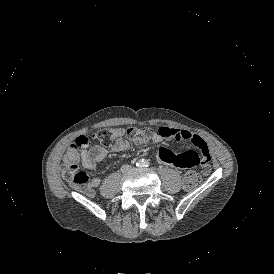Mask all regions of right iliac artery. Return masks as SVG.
<instances>
[{"instance_id": "1", "label": "right iliac artery", "mask_w": 274, "mask_h": 274, "mask_svg": "<svg viewBox=\"0 0 274 274\" xmlns=\"http://www.w3.org/2000/svg\"><path fill=\"white\" fill-rule=\"evenodd\" d=\"M136 166L137 167H142L143 166V162L141 160H139L137 163H136Z\"/></svg>"}]
</instances>
